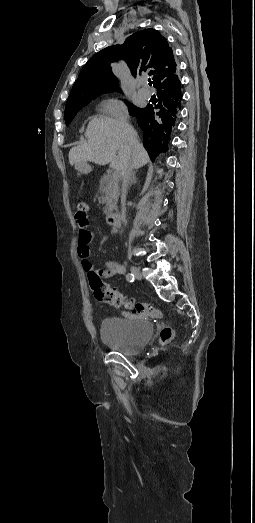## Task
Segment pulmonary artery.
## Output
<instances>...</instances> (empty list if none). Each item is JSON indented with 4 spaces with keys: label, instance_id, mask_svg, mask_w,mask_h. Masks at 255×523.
I'll return each mask as SVG.
<instances>
[{
    "label": "pulmonary artery",
    "instance_id": "1",
    "mask_svg": "<svg viewBox=\"0 0 255 523\" xmlns=\"http://www.w3.org/2000/svg\"><path fill=\"white\" fill-rule=\"evenodd\" d=\"M140 84L142 87L138 90V95L144 99H150L154 94V91L148 85L147 79L143 78Z\"/></svg>",
    "mask_w": 255,
    "mask_h": 523
}]
</instances>
